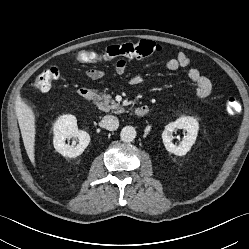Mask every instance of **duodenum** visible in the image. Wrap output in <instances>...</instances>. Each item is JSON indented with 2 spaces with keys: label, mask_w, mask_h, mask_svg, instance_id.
Instances as JSON below:
<instances>
[{
  "label": "duodenum",
  "mask_w": 249,
  "mask_h": 249,
  "mask_svg": "<svg viewBox=\"0 0 249 249\" xmlns=\"http://www.w3.org/2000/svg\"><path fill=\"white\" fill-rule=\"evenodd\" d=\"M79 96L86 101H91L94 99V91L90 88L82 87L78 90ZM149 111V107L145 104L139 105L135 108V115L138 117L145 116Z\"/></svg>",
  "instance_id": "410a0bca"
}]
</instances>
